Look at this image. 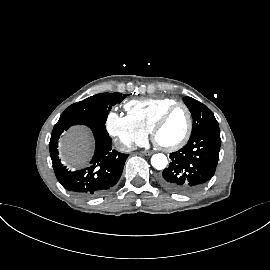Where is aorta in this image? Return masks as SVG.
Segmentation results:
<instances>
[{"instance_id":"1","label":"aorta","mask_w":270,"mask_h":270,"mask_svg":"<svg viewBox=\"0 0 270 270\" xmlns=\"http://www.w3.org/2000/svg\"><path fill=\"white\" fill-rule=\"evenodd\" d=\"M167 163V157L162 153L154 154L151 158V164L157 170L166 168Z\"/></svg>"}]
</instances>
